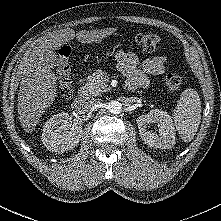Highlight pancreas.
I'll list each match as a JSON object with an SVG mask.
<instances>
[{
    "label": "pancreas",
    "mask_w": 221,
    "mask_h": 221,
    "mask_svg": "<svg viewBox=\"0 0 221 221\" xmlns=\"http://www.w3.org/2000/svg\"><path fill=\"white\" fill-rule=\"evenodd\" d=\"M108 76L101 70H97L88 77L87 83L80 90V94L86 97L98 96L107 90Z\"/></svg>",
    "instance_id": "1"
}]
</instances>
